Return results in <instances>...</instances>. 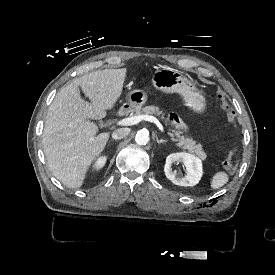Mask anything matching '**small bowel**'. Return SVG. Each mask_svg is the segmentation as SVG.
<instances>
[{
	"instance_id": "small-bowel-1",
	"label": "small bowel",
	"mask_w": 275,
	"mask_h": 275,
	"mask_svg": "<svg viewBox=\"0 0 275 275\" xmlns=\"http://www.w3.org/2000/svg\"><path fill=\"white\" fill-rule=\"evenodd\" d=\"M168 118H169V121L172 124V126L175 127L176 129L184 130L186 128L183 120L181 119V117L178 114L170 113Z\"/></svg>"
}]
</instances>
